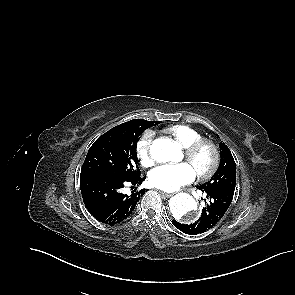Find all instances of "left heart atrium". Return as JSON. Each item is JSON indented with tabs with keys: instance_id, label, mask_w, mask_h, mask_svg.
Wrapping results in <instances>:
<instances>
[{
	"instance_id": "1",
	"label": "left heart atrium",
	"mask_w": 295,
	"mask_h": 295,
	"mask_svg": "<svg viewBox=\"0 0 295 295\" xmlns=\"http://www.w3.org/2000/svg\"><path fill=\"white\" fill-rule=\"evenodd\" d=\"M196 177L193 167L182 162L178 164H164L154 168L149 173V182L152 186L165 190L176 191L182 186L191 183Z\"/></svg>"
}]
</instances>
